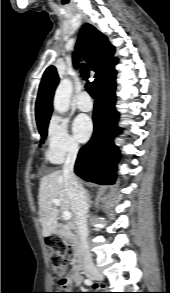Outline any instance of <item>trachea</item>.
<instances>
[{
    "mask_svg": "<svg viewBox=\"0 0 170 293\" xmlns=\"http://www.w3.org/2000/svg\"><path fill=\"white\" fill-rule=\"evenodd\" d=\"M81 74L84 80H86V85H85L86 91L91 95V97L95 98L96 94L94 90V85L92 82L88 81L89 70L85 65L81 66Z\"/></svg>",
    "mask_w": 170,
    "mask_h": 293,
    "instance_id": "3493384b",
    "label": "trachea"
}]
</instances>
